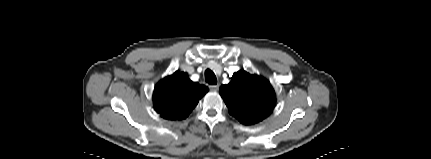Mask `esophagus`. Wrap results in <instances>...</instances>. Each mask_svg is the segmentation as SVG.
<instances>
[{
    "label": "esophagus",
    "instance_id": "esophagus-1",
    "mask_svg": "<svg viewBox=\"0 0 431 159\" xmlns=\"http://www.w3.org/2000/svg\"><path fill=\"white\" fill-rule=\"evenodd\" d=\"M209 87H210V89H211L212 91H218V89H219V84H217V85H210Z\"/></svg>",
    "mask_w": 431,
    "mask_h": 159
}]
</instances>
